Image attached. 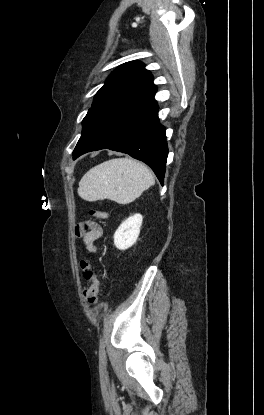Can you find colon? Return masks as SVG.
Instances as JSON below:
<instances>
[{
  "mask_svg": "<svg viewBox=\"0 0 264 415\" xmlns=\"http://www.w3.org/2000/svg\"><path fill=\"white\" fill-rule=\"evenodd\" d=\"M106 212L103 210L92 209L89 212V216L91 218L96 219H103L106 217ZM85 230H88V226L86 225ZM85 277L90 282V285L86 287L83 291L84 298L86 302L90 305H93L97 302L99 291H100V276L96 273L94 268L89 266V264H85Z\"/></svg>",
  "mask_w": 264,
  "mask_h": 415,
  "instance_id": "obj_1",
  "label": "colon"
}]
</instances>
